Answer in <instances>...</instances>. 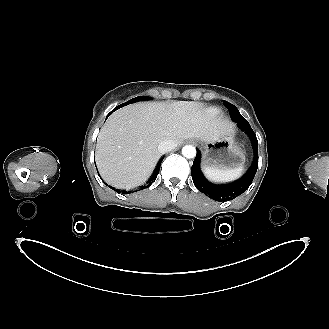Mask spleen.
Instances as JSON below:
<instances>
[{"instance_id": "obj_1", "label": "spleen", "mask_w": 329, "mask_h": 329, "mask_svg": "<svg viewBox=\"0 0 329 329\" xmlns=\"http://www.w3.org/2000/svg\"><path fill=\"white\" fill-rule=\"evenodd\" d=\"M205 176L213 182L225 183L237 180L244 172V168H236L231 170H219L213 168H204Z\"/></svg>"}]
</instances>
